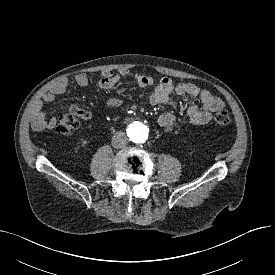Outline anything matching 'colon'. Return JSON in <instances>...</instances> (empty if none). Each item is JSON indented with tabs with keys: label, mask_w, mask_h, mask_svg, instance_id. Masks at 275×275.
I'll list each match as a JSON object with an SVG mask.
<instances>
[{
	"label": "colon",
	"mask_w": 275,
	"mask_h": 275,
	"mask_svg": "<svg viewBox=\"0 0 275 275\" xmlns=\"http://www.w3.org/2000/svg\"><path fill=\"white\" fill-rule=\"evenodd\" d=\"M77 117L78 116L73 113L61 115L57 125L58 133L61 135H69L76 131L80 124ZM214 120L219 125H227L231 122V116L228 111L220 110L215 114Z\"/></svg>",
	"instance_id": "5ec220e1"
}]
</instances>
